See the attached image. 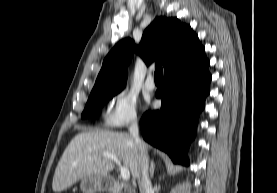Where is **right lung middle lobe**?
Returning <instances> with one entry per match:
<instances>
[{"instance_id": "1", "label": "right lung middle lobe", "mask_w": 277, "mask_h": 193, "mask_svg": "<svg viewBox=\"0 0 277 193\" xmlns=\"http://www.w3.org/2000/svg\"><path fill=\"white\" fill-rule=\"evenodd\" d=\"M120 91L121 90L103 91L90 94L81 117L87 118L96 115L101 110L102 106Z\"/></svg>"}]
</instances>
